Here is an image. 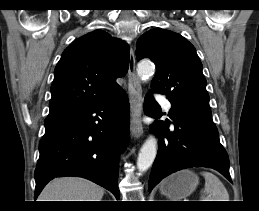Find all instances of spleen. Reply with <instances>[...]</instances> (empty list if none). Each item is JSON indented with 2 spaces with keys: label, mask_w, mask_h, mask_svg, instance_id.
I'll use <instances>...</instances> for the list:
<instances>
[{
  "label": "spleen",
  "mask_w": 259,
  "mask_h": 211,
  "mask_svg": "<svg viewBox=\"0 0 259 211\" xmlns=\"http://www.w3.org/2000/svg\"><path fill=\"white\" fill-rule=\"evenodd\" d=\"M205 187L200 201H229V194L221 180L211 172L201 173Z\"/></svg>",
  "instance_id": "spleen-1"
}]
</instances>
